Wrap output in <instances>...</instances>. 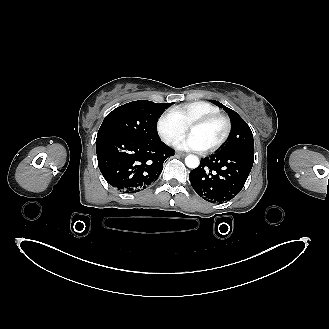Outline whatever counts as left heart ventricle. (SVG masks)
<instances>
[{"instance_id": "1", "label": "left heart ventricle", "mask_w": 329, "mask_h": 329, "mask_svg": "<svg viewBox=\"0 0 329 329\" xmlns=\"http://www.w3.org/2000/svg\"><path fill=\"white\" fill-rule=\"evenodd\" d=\"M224 123L220 120H215L207 124L193 127L189 133L195 135L202 143L204 149L213 146L224 133Z\"/></svg>"}]
</instances>
